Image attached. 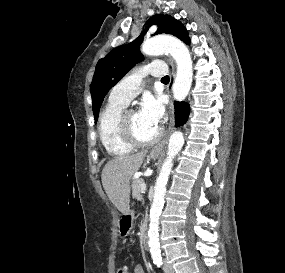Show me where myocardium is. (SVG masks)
<instances>
[{"mask_svg": "<svg viewBox=\"0 0 285 273\" xmlns=\"http://www.w3.org/2000/svg\"><path fill=\"white\" fill-rule=\"evenodd\" d=\"M131 112H135V110L125 109L119 117L118 128L122 140L132 147H147L157 143L163 136V129L159 128L157 134L150 140H140L128 122V115Z\"/></svg>", "mask_w": 285, "mask_h": 273, "instance_id": "f54148a6", "label": "myocardium"}]
</instances>
